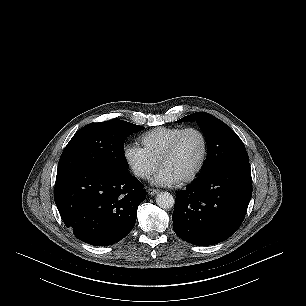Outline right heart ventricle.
<instances>
[{
    "mask_svg": "<svg viewBox=\"0 0 306 306\" xmlns=\"http://www.w3.org/2000/svg\"><path fill=\"white\" fill-rule=\"evenodd\" d=\"M182 127H158L141 136L145 150L158 162L174 138L183 130Z\"/></svg>",
    "mask_w": 306,
    "mask_h": 306,
    "instance_id": "obj_1",
    "label": "right heart ventricle"
}]
</instances>
